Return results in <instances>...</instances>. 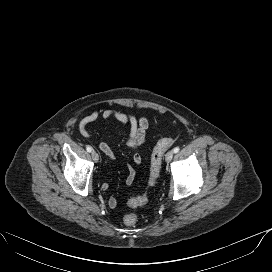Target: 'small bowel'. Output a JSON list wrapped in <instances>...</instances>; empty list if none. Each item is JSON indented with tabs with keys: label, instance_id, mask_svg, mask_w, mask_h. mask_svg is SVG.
Returning <instances> with one entry per match:
<instances>
[{
	"label": "small bowel",
	"instance_id": "1",
	"mask_svg": "<svg viewBox=\"0 0 272 272\" xmlns=\"http://www.w3.org/2000/svg\"><path fill=\"white\" fill-rule=\"evenodd\" d=\"M104 121H108L113 118L123 125L128 126L129 133L127 137V146L132 149L133 156L132 161L135 165H140L142 162V157L138 152V148L147 142V130L149 128L150 122L147 116L140 115L136 116L130 112H124L118 109H106L103 112L98 110H92L87 115H85L79 122V133L81 136L87 139H91L92 135L87 129V126L96 121L99 118ZM100 151L105 155L107 161H111L114 158V153L110 146L105 141H100L98 144ZM136 170L134 166L130 163L127 164V177L126 184L132 185L135 181ZM108 188L107 183L102 184V189L106 190ZM109 207L115 209L118 206V201L115 198H111L108 202Z\"/></svg>",
	"mask_w": 272,
	"mask_h": 272
}]
</instances>
